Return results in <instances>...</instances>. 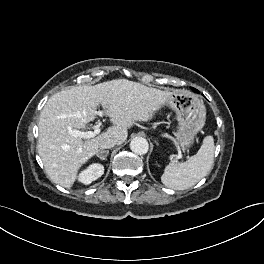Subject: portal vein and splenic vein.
Segmentation results:
<instances>
[{
  "label": "portal vein and splenic vein",
  "instance_id": "18ae733b",
  "mask_svg": "<svg viewBox=\"0 0 264 264\" xmlns=\"http://www.w3.org/2000/svg\"><path fill=\"white\" fill-rule=\"evenodd\" d=\"M99 116H103V112H99L98 113ZM101 129L100 128H96L94 131H80V130H70V135H72L73 137H79V138H84V139H89V138H93L95 136H97L98 134H100Z\"/></svg>",
  "mask_w": 264,
  "mask_h": 264
}]
</instances>
